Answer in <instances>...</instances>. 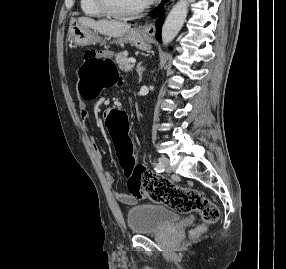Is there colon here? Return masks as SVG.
<instances>
[{"label":"colon","instance_id":"colon-1","mask_svg":"<svg viewBox=\"0 0 286 269\" xmlns=\"http://www.w3.org/2000/svg\"><path fill=\"white\" fill-rule=\"evenodd\" d=\"M108 57H114L113 49L86 52L79 68V89L86 99L96 97L102 89L118 82L114 65L108 60H102ZM128 116L130 111H126L124 106H111L106 121L113 142L112 149H116L113 155L118 156L120 166L128 177V190L138 198L153 199L181 213L198 211L203 224L194 233H202L206 225L219 219L217 207L198 190L177 187L166 178L146 171L143 163H136L137 155L133 150L136 143L131 137Z\"/></svg>","mask_w":286,"mask_h":269}]
</instances>
